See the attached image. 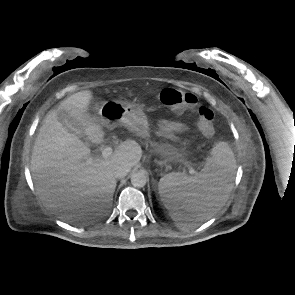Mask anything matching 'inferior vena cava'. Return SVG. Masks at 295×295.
<instances>
[{"mask_svg": "<svg viewBox=\"0 0 295 295\" xmlns=\"http://www.w3.org/2000/svg\"><path fill=\"white\" fill-rule=\"evenodd\" d=\"M130 171V167L127 165H119L115 168L114 177L117 179H121L125 177Z\"/></svg>", "mask_w": 295, "mask_h": 295, "instance_id": "obj_1", "label": "inferior vena cava"}]
</instances>
